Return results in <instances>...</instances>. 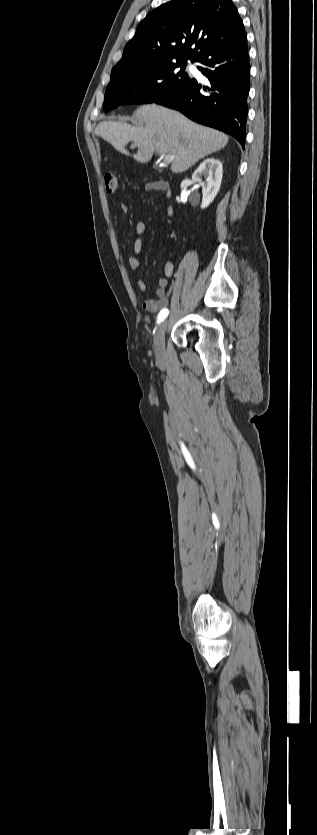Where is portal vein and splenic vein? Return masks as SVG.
Wrapping results in <instances>:
<instances>
[{"instance_id":"1","label":"portal vein and splenic vein","mask_w":317,"mask_h":835,"mask_svg":"<svg viewBox=\"0 0 317 835\" xmlns=\"http://www.w3.org/2000/svg\"><path fill=\"white\" fill-rule=\"evenodd\" d=\"M174 158H175V156H174V155H171V154H165V155H164V160H163V161H164V163H170V162H172V161H173V159H174Z\"/></svg>"}]
</instances>
